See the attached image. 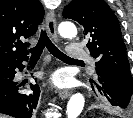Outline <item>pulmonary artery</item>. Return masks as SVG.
<instances>
[{
    "instance_id": "e3ab8cb5",
    "label": "pulmonary artery",
    "mask_w": 133,
    "mask_h": 118,
    "mask_svg": "<svg viewBox=\"0 0 133 118\" xmlns=\"http://www.w3.org/2000/svg\"><path fill=\"white\" fill-rule=\"evenodd\" d=\"M66 54L73 59H88L90 62H93V60L77 44H69L66 48Z\"/></svg>"
}]
</instances>
